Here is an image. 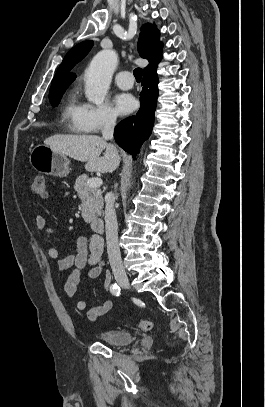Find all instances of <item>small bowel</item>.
Listing matches in <instances>:
<instances>
[{
  "instance_id": "1",
  "label": "small bowel",
  "mask_w": 265,
  "mask_h": 407,
  "mask_svg": "<svg viewBox=\"0 0 265 407\" xmlns=\"http://www.w3.org/2000/svg\"><path fill=\"white\" fill-rule=\"evenodd\" d=\"M35 226L38 230H43L47 234H56L54 228L45 226V219L42 215L36 214L34 217ZM48 256L57 261L59 270L63 274H67L66 283L64 286L65 294L68 298L75 296L77 287L80 281L81 271L84 268L87 269V276L90 279H96L100 277L104 272V263L102 260V247L97 238H94L90 245L87 244V240L83 236H79L76 239V250L71 256L60 257L58 251L55 248L48 250ZM111 276L109 273L104 275V286L108 291L111 287ZM76 308L79 311L87 309V302L85 300H79L76 303ZM112 308V301L109 299L104 300L100 305L91 307L87 313V319L89 321H96L99 317L106 314Z\"/></svg>"
}]
</instances>
